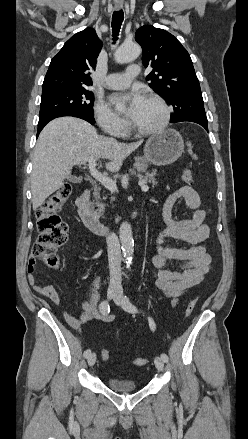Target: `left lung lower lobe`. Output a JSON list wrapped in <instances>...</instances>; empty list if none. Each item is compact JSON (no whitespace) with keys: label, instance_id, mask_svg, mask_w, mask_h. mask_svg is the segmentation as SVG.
Returning <instances> with one entry per match:
<instances>
[{"label":"left lung lower lobe","instance_id":"left-lung-lower-lobe-1","mask_svg":"<svg viewBox=\"0 0 248 439\" xmlns=\"http://www.w3.org/2000/svg\"><path fill=\"white\" fill-rule=\"evenodd\" d=\"M183 121H189V122L198 123V124L203 126L208 131V121H207V118L194 117V116H185V117H181V118H179L177 120L172 121V123L183 122Z\"/></svg>","mask_w":248,"mask_h":439}]
</instances>
